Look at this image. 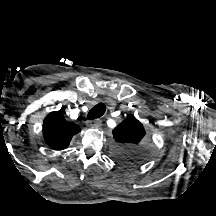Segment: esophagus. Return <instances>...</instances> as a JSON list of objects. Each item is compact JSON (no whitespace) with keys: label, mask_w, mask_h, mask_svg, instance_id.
<instances>
[{"label":"esophagus","mask_w":216,"mask_h":216,"mask_svg":"<svg viewBox=\"0 0 216 216\" xmlns=\"http://www.w3.org/2000/svg\"><path fill=\"white\" fill-rule=\"evenodd\" d=\"M100 119L88 120L86 122L87 127H99L101 125Z\"/></svg>","instance_id":"34e87169"}]
</instances>
